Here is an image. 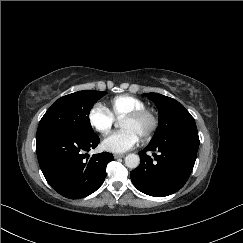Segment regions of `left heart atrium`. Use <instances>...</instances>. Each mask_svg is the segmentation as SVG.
Masks as SVG:
<instances>
[{"label": "left heart atrium", "mask_w": 243, "mask_h": 243, "mask_svg": "<svg viewBox=\"0 0 243 243\" xmlns=\"http://www.w3.org/2000/svg\"><path fill=\"white\" fill-rule=\"evenodd\" d=\"M138 140L135 132L130 129H122L105 137L102 146L106 151L112 153H124L135 147Z\"/></svg>", "instance_id": "obj_1"}]
</instances>
